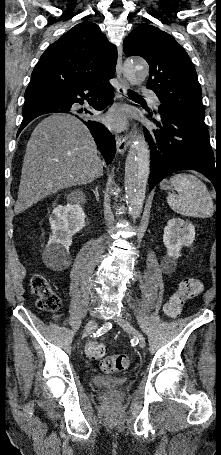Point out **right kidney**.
<instances>
[{
    "label": "right kidney",
    "mask_w": 221,
    "mask_h": 455,
    "mask_svg": "<svg viewBox=\"0 0 221 455\" xmlns=\"http://www.w3.org/2000/svg\"><path fill=\"white\" fill-rule=\"evenodd\" d=\"M51 235L43 251V259L54 267L69 263L72 236L85 227V213L79 204L58 205L49 218Z\"/></svg>",
    "instance_id": "1"
}]
</instances>
